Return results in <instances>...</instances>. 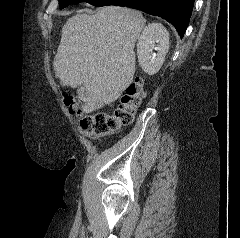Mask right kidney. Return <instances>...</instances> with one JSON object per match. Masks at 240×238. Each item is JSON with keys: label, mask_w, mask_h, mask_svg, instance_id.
I'll return each instance as SVG.
<instances>
[{"label": "right kidney", "mask_w": 240, "mask_h": 238, "mask_svg": "<svg viewBox=\"0 0 240 238\" xmlns=\"http://www.w3.org/2000/svg\"><path fill=\"white\" fill-rule=\"evenodd\" d=\"M157 44V47H155ZM156 48L158 53H153ZM169 50V33L161 23H150L142 31L137 43V56L141 68L148 75L156 74Z\"/></svg>", "instance_id": "1"}]
</instances>
